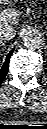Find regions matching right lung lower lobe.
<instances>
[{
    "instance_id": "1",
    "label": "right lung lower lobe",
    "mask_w": 47,
    "mask_h": 129,
    "mask_svg": "<svg viewBox=\"0 0 47 129\" xmlns=\"http://www.w3.org/2000/svg\"><path fill=\"white\" fill-rule=\"evenodd\" d=\"M13 50H14V49H12V50L10 51V53L8 54V56H7L6 59H5V62H4V64H3V66H2L1 69H0V83L4 80L6 74L8 73L9 58H10V56H11Z\"/></svg>"
}]
</instances>
